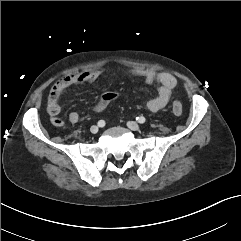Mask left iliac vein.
I'll use <instances>...</instances> for the list:
<instances>
[{
    "instance_id": "1",
    "label": "left iliac vein",
    "mask_w": 241,
    "mask_h": 241,
    "mask_svg": "<svg viewBox=\"0 0 241 241\" xmlns=\"http://www.w3.org/2000/svg\"><path fill=\"white\" fill-rule=\"evenodd\" d=\"M127 126L133 131H138L140 129V126L138 125V123H136L134 121H129L127 123Z\"/></svg>"
}]
</instances>
